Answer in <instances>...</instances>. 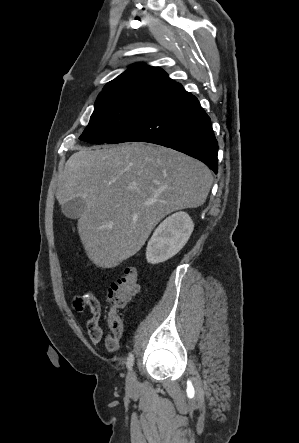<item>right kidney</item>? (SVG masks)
<instances>
[{
    "mask_svg": "<svg viewBox=\"0 0 299 443\" xmlns=\"http://www.w3.org/2000/svg\"><path fill=\"white\" fill-rule=\"evenodd\" d=\"M194 223L185 212H176L167 217L154 231L146 248L148 263L165 262L176 255L187 243Z\"/></svg>",
    "mask_w": 299,
    "mask_h": 443,
    "instance_id": "ca27d5eb",
    "label": "right kidney"
}]
</instances>
